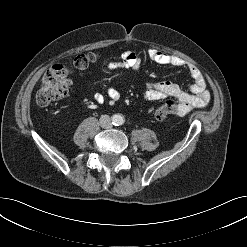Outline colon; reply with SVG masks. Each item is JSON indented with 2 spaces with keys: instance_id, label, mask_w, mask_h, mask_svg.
Segmentation results:
<instances>
[{
  "instance_id": "obj_1",
  "label": "colon",
  "mask_w": 247,
  "mask_h": 247,
  "mask_svg": "<svg viewBox=\"0 0 247 247\" xmlns=\"http://www.w3.org/2000/svg\"><path fill=\"white\" fill-rule=\"evenodd\" d=\"M97 61L95 53L78 55L74 60V65L79 70H87ZM71 85L69 70L63 65H56L50 68L44 75L40 87L36 93V102L39 106L45 107L51 103L64 98ZM178 103L169 99L157 107L154 117L162 121L178 112Z\"/></svg>"
}]
</instances>
